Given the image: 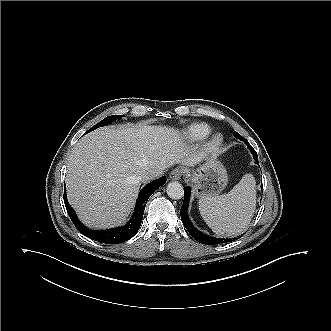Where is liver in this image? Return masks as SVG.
<instances>
[{
  "label": "liver",
  "mask_w": 331,
  "mask_h": 331,
  "mask_svg": "<svg viewBox=\"0 0 331 331\" xmlns=\"http://www.w3.org/2000/svg\"><path fill=\"white\" fill-rule=\"evenodd\" d=\"M180 132L163 126L99 128L73 148L66 174L67 197L79 219L94 229L112 228L129 216L149 171L199 161Z\"/></svg>",
  "instance_id": "liver-1"
}]
</instances>
